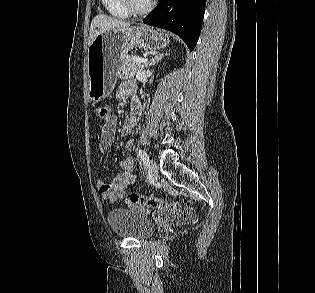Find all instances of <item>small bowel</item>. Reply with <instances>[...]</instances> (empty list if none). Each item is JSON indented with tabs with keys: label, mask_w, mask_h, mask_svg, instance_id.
<instances>
[{
	"label": "small bowel",
	"mask_w": 315,
	"mask_h": 293,
	"mask_svg": "<svg viewBox=\"0 0 315 293\" xmlns=\"http://www.w3.org/2000/svg\"><path fill=\"white\" fill-rule=\"evenodd\" d=\"M136 88L133 82L126 81L122 83L116 92V97L118 99L133 96L135 94ZM140 109L138 106H134L133 111L130 116H128L121 128V135L127 136L130 134L134 126L140 120ZM117 117L110 114L109 117L103 124L100 141H99V155L102 158L113 144L116 134ZM128 150H132L134 147V142L129 140L126 144ZM121 171L112 179L111 182L107 183L101 180L96 182L97 189L99 190L102 199L105 202L114 203L120 200L126 194V190L135 183L136 174L134 172V160L132 157H126L120 163ZM158 219L161 220H174V216L171 211H157L155 213Z\"/></svg>",
	"instance_id": "obj_1"
}]
</instances>
